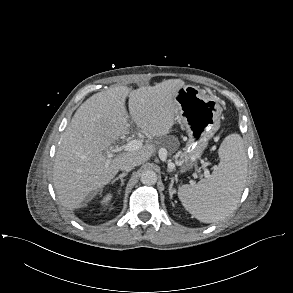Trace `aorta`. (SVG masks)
<instances>
[{"mask_svg": "<svg viewBox=\"0 0 293 293\" xmlns=\"http://www.w3.org/2000/svg\"><path fill=\"white\" fill-rule=\"evenodd\" d=\"M157 179V174L153 170H145L140 178L141 183L147 186L156 184Z\"/></svg>", "mask_w": 293, "mask_h": 293, "instance_id": "1", "label": "aorta"}]
</instances>
